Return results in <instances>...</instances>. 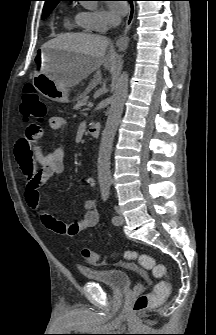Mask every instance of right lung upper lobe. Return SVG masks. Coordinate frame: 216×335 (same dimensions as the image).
<instances>
[{"mask_svg": "<svg viewBox=\"0 0 216 335\" xmlns=\"http://www.w3.org/2000/svg\"><path fill=\"white\" fill-rule=\"evenodd\" d=\"M44 1H45L44 6H47V5L57 4L61 0H44Z\"/></svg>", "mask_w": 216, "mask_h": 335, "instance_id": "1", "label": "right lung upper lobe"}]
</instances>
